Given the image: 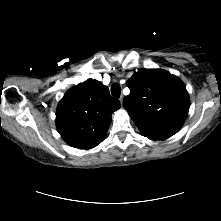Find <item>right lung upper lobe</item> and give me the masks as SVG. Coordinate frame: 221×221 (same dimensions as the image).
Wrapping results in <instances>:
<instances>
[{
  "label": "right lung upper lobe",
  "instance_id": "right-lung-upper-lobe-1",
  "mask_svg": "<svg viewBox=\"0 0 221 221\" xmlns=\"http://www.w3.org/2000/svg\"><path fill=\"white\" fill-rule=\"evenodd\" d=\"M120 102L101 82L88 79L68 90L57 107L56 126L70 146L91 149L101 143Z\"/></svg>",
  "mask_w": 221,
  "mask_h": 221
}]
</instances>
